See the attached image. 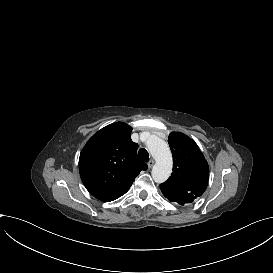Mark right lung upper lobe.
I'll return each instance as SVG.
<instances>
[{"mask_svg":"<svg viewBox=\"0 0 273 273\" xmlns=\"http://www.w3.org/2000/svg\"><path fill=\"white\" fill-rule=\"evenodd\" d=\"M131 131L123 122L110 124L94 134L80 154L82 182L101 201L125 194L140 171L147 169L137 157L138 144L131 140Z\"/></svg>","mask_w":273,"mask_h":273,"instance_id":"cb5924a9","label":"right lung upper lobe"}]
</instances>
